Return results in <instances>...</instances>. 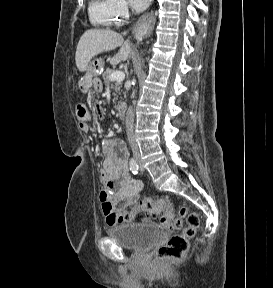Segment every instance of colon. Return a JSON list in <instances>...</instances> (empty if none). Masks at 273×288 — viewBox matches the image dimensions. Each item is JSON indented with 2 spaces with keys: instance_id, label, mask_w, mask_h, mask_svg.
<instances>
[{
  "instance_id": "5ec220e1",
  "label": "colon",
  "mask_w": 273,
  "mask_h": 288,
  "mask_svg": "<svg viewBox=\"0 0 273 288\" xmlns=\"http://www.w3.org/2000/svg\"><path fill=\"white\" fill-rule=\"evenodd\" d=\"M95 110H101L99 104H96ZM143 212L158 216L161 224L171 230H180L169 237L156 253L159 261L176 260L180 261L188 250V240L192 238L199 226L200 220L197 213L188 206H181L177 212L174 211L169 199H144L138 205Z\"/></svg>"
}]
</instances>
